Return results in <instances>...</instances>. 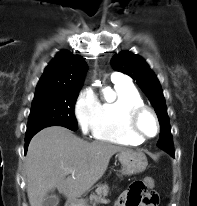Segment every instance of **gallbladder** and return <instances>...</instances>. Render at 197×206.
I'll use <instances>...</instances> for the list:
<instances>
[{
    "instance_id": "gallbladder-1",
    "label": "gallbladder",
    "mask_w": 197,
    "mask_h": 206,
    "mask_svg": "<svg viewBox=\"0 0 197 206\" xmlns=\"http://www.w3.org/2000/svg\"><path fill=\"white\" fill-rule=\"evenodd\" d=\"M59 197L56 194L48 193L43 201L42 206H58Z\"/></svg>"
}]
</instances>
